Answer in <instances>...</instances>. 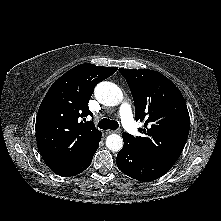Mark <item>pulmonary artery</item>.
Returning a JSON list of instances; mask_svg holds the SVG:
<instances>
[{"mask_svg": "<svg viewBox=\"0 0 221 221\" xmlns=\"http://www.w3.org/2000/svg\"><path fill=\"white\" fill-rule=\"evenodd\" d=\"M119 114L123 127L133 136H137L139 134L138 126L133 118L130 105L128 103L121 104Z\"/></svg>", "mask_w": 221, "mask_h": 221, "instance_id": "1", "label": "pulmonary artery"}]
</instances>
